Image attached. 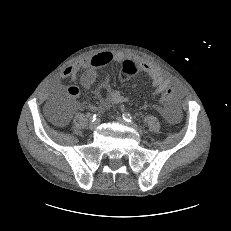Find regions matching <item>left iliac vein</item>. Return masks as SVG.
<instances>
[{
	"label": "left iliac vein",
	"instance_id": "1",
	"mask_svg": "<svg viewBox=\"0 0 231 231\" xmlns=\"http://www.w3.org/2000/svg\"><path fill=\"white\" fill-rule=\"evenodd\" d=\"M117 121L119 123L123 124V125L129 126V127L133 128V129L139 131V129L135 125L126 122L122 117H117Z\"/></svg>",
	"mask_w": 231,
	"mask_h": 231
}]
</instances>
